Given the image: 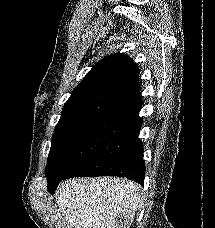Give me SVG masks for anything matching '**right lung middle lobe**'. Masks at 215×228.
Masks as SVG:
<instances>
[{
  "instance_id": "right-lung-middle-lobe-1",
  "label": "right lung middle lobe",
  "mask_w": 215,
  "mask_h": 228,
  "mask_svg": "<svg viewBox=\"0 0 215 228\" xmlns=\"http://www.w3.org/2000/svg\"><path fill=\"white\" fill-rule=\"evenodd\" d=\"M128 126L123 122L97 119L54 132L45 169L49 193L72 168Z\"/></svg>"
}]
</instances>
